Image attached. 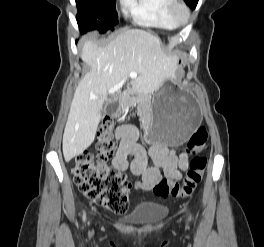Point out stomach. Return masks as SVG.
Masks as SVG:
<instances>
[{
    "mask_svg": "<svg viewBox=\"0 0 264 247\" xmlns=\"http://www.w3.org/2000/svg\"><path fill=\"white\" fill-rule=\"evenodd\" d=\"M200 121L195 98L167 79L152 97L147 136L151 141L164 143L165 147H180L182 142L189 141Z\"/></svg>",
    "mask_w": 264,
    "mask_h": 247,
    "instance_id": "0dacf381",
    "label": "stomach"
}]
</instances>
